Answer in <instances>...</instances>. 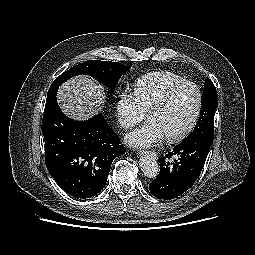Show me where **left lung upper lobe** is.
Wrapping results in <instances>:
<instances>
[{
    "label": "left lung upper lobe",
    "instance_id": "5c2ea615",
    "mask_svg": "<svg viewBox=\"0 0 255 255\" xmlns=\"http://www.w3.org/2000/svg\"><path fill=\"white\" fill-rule=\"evenodd\" d=\"M217 91L213 82L205 79V87L203 94V104L200 113V119L196 124L192 133L185 139H191L200 134H214V115L217 107Z\"/></svg>",
    "mask_w": 255,
    "mask_h": 255
}]
</instances>
